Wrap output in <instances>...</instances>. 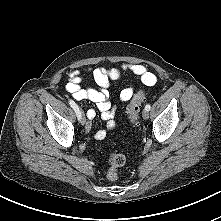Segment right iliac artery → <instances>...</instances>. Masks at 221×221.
I'll return each mask as SVG.
<instances>
[{
  "mask_svg": "<svg viewBox=\"0 0 221 221\" xmlns=\"http://www.w3.org/2000/svg\"><path fill=\"white\" fill-rule=\"evenodd\" d=\"M69 104L74 109V111L78 117V120H80L81 114H80V110H79L77 104L71 99L69 100Z\"/></svg>",
  "mask_w": 221,
  "mask_h": 221,
  "instance_id": "obj_1",
  "label": "right iliac artery"
}]
</instances>
